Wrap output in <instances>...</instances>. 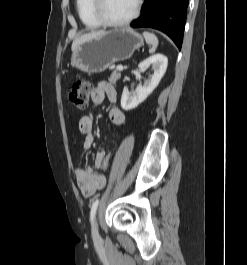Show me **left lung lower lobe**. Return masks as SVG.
Segmentation results:
<instances>
[{
    "label": "left lung lower lobe",
    "mask_w": 247,
    "mask_h": 265,
    "mask_svg": "<svg viewBox=\"0 0 247 265\" xmlns=\"http://www.w3.org/2000/svg\"><path fill=\"white\" fill-rule=\"evenodd\" d=\"M189 0H145L134 28L150 27L167 34L181 49Z\"/></svg>",
    "instance_id": "0a47b994"
}]
</instances>
